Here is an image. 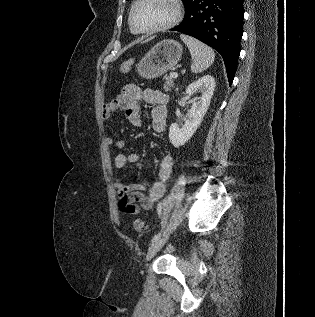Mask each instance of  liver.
I'll list each match as a JSON object with an SVG mask.
<instances>
[{"instance_id": "obj_1", "label": "liver", "mask_w": 315, "mask_h": 317, "mask_svg": "<svg viewBox=\"0 0 315 317\" xmlns=\"http://www.w3.org/2000/svg\"><path fill=\"white\" fill-rule=\"evenodd\" d=\"M151 38L146 39L145 41L143 39L138 40V43H144V42H148Z\"/></svg>"}]
</instances>
